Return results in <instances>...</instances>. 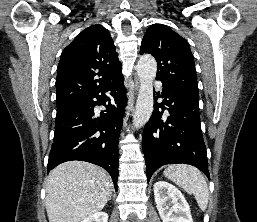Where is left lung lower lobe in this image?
Listing matches in <instances>:
<instances>
[{
	"instance_id": "obj_1",
	"label": "left lung lower lobe",
	"mask_w": 257,
	"mask_h": 222,
	"mask_svg": "<svg viewBox=\"0 0 257 222\" xmlns=\"http://www.w3.org/2000/svg\"><path fill=\"white\" fill-rule=\"evenodd\" d=\"M158 96L164 100L154 104L142 138L147 181L159 167L174 163L193 165L210 179L198 98L166 84Z\"/></svg>"
}]
</instances>
